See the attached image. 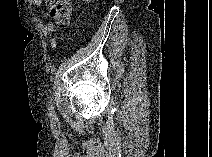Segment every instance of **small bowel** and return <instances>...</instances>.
Returning a JSON list of instances; mask_svg holds the SVG:
<instances>
[{"label":"small bowel","instance_id":"c3829d8e","mask_svg":"<svg viewBox=\"0 0 212 157\" xmlns=\"http://www.w3.org/2000/svg\"><path fill=\"white\" fill-rule=\"evenodd\" d=\"M30 5L33 7H40L42 6V0H31L30 1ZM43 17L48 18V13L46 11L42 12ZM37 25L38 27L41 29V31L43 32V34L46 37H49V43L51 45L52 48L56 47V41L54 38H52L50 35L54 30V25L48 21L46 23H43L39 18L36 19Z\"/></svg>","mask_w":212,"mask_h":157}]
</instances>
